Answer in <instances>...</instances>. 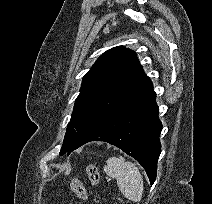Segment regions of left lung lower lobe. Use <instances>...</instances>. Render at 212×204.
Returning a JSON list of instances; mask_svg holds the SVG:
<instances>
[{
	"mask_svg": "<svg viewBox=\"0 0 212 204\" xmlns=\"http://www.w3.org/2000/svg\"><path fill=\"white\" fill-rule=\"evenodd\" d=\"M155 96L149 79L82 132L68 152L91 141L108 142L135 158L145 169L152 185L161 153L159 136L162 130Z\"/></svg>",
	"mask_w": 212,
	"mask_h": 204,
	"instance_id": "1",
	"label": "left lung lower lobe"
}]
</instances>
